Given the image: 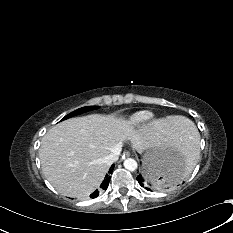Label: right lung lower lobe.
Masks as SVG:
<instances>
[{
  "label": "right lung lower lobe",
  "instance_id": "98d812e1",
  "mask_svg": "<svg viewBox=\"0 0 233 233\" xmlns=\"http://www.w3.org/2000/svg\"><path fill=\"white\" fill-rule=\"evenodd\" d=\"M113 167H114V164L111 166V168H110V170H109L108 173H112ZM109 181H110V176L107 174L106 177H105V179L103 180V182H102L101 185H100L99 191L96 190L95 192H93V193L90 195V197H91V198H95V197H97V196L99 195V192H100V191L106 190L107 187H108Z\"/></svg>",
  "mask_w": 233,
  "mask_h": 233
}]
</instances>
